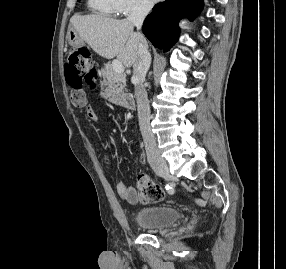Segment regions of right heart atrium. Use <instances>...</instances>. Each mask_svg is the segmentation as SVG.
<instances>
[{
    "label": "right heart atrium",
    "mask_w": 286,
    "mask_h": 269,
    "mask_svg": "<svg viewBox=\"0 0 286 269\" xmlns=\"http://www.w3.org/2000/svg\"><path fill=\"white\" fill-rule=\"evenodd\" d=\"M117 13L121 16L145 14L152 8L150 0H115Z\"/></svg>",
    "instance_id": "1"
}]
</instances>
